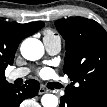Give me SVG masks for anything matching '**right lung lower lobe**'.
Instances as JSON below:
<instances>
[{
	"label": "right lung lower lobe",
	"instance_id": "1",
	"mask_svg": "<svg viewBox=\"0 0 107 107\" xmlns=\"http://www.w3.org/2000/svg\"><path fill=\"white\" fill-rule=\"evenodd\" d=\"M39 88L40 84L36 80H28L18 88L6 80L0 82V107H19L25 98L37 95Z\"/></svg>",
	"mask_w": 107,
	"mask_h": 107
}]
</instances>
